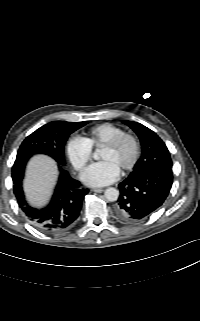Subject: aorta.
I'll return each mask as SVG.
<instances>
[{
    "mask_svg": "<svg viewBox=\"0 0 200 321\" xmlns=\"http://www.w3.org/2000/svg\"><path fill=\"white\" fill-rule=\"evenodd\" d=\"M104 196L108 201L114 202L119 197V191L113 187H109L105 190Z\"/></svg>",
    "mask_w": 200,
    "mask_h": 321,
    "instance_id": "obj_1",
    "label": "aorta"
}]
</instances>
